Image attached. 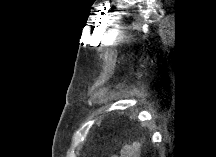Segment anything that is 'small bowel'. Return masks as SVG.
<instances>
[{"instance_id":"small-bowel-1","label":"small bowel","mask_w":216,"mask_h":157,"mask_svg":"<svg viewBox=\"0 0 216 157\" xmlns=\"http://www.w3.org/2000/svg\"><path fill=\"white\" fill-rule=\"evenodd\" d=\"M140 152V144L134 142L132 144L124 145L120 150V157H138Z\"/></svg>"}]
</instances>
